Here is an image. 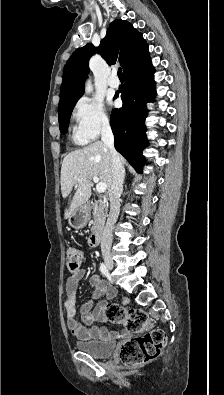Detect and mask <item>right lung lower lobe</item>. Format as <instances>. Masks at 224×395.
Returning a JSON list of instances; mask_svg holds the SVG:
<instances>
[{
	"label": "right lung lower lobe",
	"instance_id": "right-lung-lower-lobe-1",
	"mask_svg": "<svg viewBox=\"0 0 224 395\" xmlns=\"http://www.w3.org/2000/svg\"><path fill=\"white\" fill-rule=\"evenodd\" d=\"M153 74L154 67L147 51L124 71L125 85L114 96V99L121 96L123 107L113 109L110 120L116 150L137 172H142V151L147 145L146 103L155 95Z\"/></svg>",
	"mask_w": 224,
	"mask_h": 395
}]
</instances>
